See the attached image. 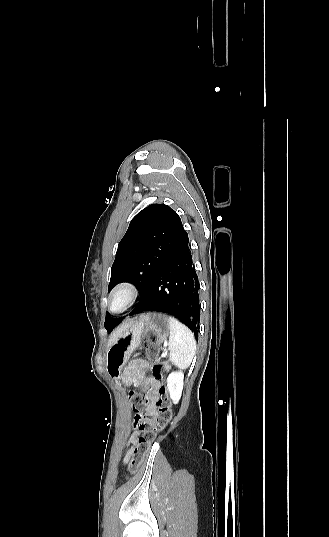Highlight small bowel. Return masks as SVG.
I'll return each mask as SVG.
<instances>
[{"label": "small bowel", "instance_id": "obj_1", "mask_svg": "<svg viewBox=\"0 0 329 537\" xmlns=\"http://www.w3.org/2000/svg\"><path fill=\"white\" fill-rule=\"evenodd\" d=\"M149 363L140 358H136L130 362L125 368L123 374V381L125 384H132L135 387L140 385V382H144L149 388V402L145 408V419L152 422L155 420L158 414L157 407V393L160 387V382L153 376H148L147 371L150 370ZM132 393V390H129ZM139 430L133 431L127 442V449L123 458V464H127L133 456L134 448L137 445Z\"/></svg>", "mask_w": 329, "mask_h": 537}]
</instances>
